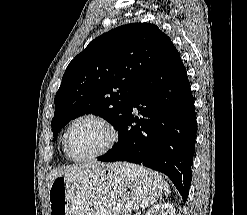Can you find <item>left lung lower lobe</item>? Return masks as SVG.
I'll use <instances>...</instances> for the list:
<instances>
[{"label":"left lung lower lobe","instance_id":"obj_1","mask_svg":"<svg viewBox=\"0 0 247 215\" xmlns=\"http://www.w3.org/2000/svg\"><path fill=\"white\" fill-rule=\"evenodd\" d=\"M134 108L141 118L132 114ZM196 129L194 98L186 69L171 42L138 86L118 129V142L98 160L127 161L162 172L185 202L192 179Z\"/></svg>","mask_w":247,"mask_h":215}]
</instances>
